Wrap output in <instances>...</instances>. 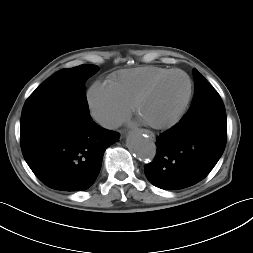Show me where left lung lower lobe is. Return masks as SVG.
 <instances>
[{
    "instance_id": "1",
    "label": "left lung lower lobe",
    "mask_w": 253,
    "mask_h": 253,
    "mask_svg": "<svg viewBox=\"0 0 253 253\" xmlns=\"http://www.w3.org/2000/svg\"><path fill=\"white\" fill-rule=\"evenodd\" d=\"M226 138V113L181 119L157 138V154L154 161L145 166V175L161 189L192 186L204 179L218 162Z\"/></svg>"
}]
</instances>
